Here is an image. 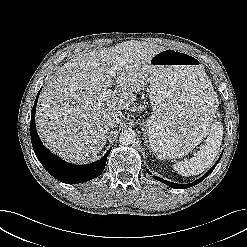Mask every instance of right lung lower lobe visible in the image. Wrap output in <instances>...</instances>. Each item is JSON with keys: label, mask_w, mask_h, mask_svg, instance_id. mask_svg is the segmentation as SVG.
I'll use <instances>...</instances> for the list:
<instances>
[{"label": "right lung lower lobe", "mask_w": 247, "mask_h": 247, "mask_svg": "<svg viewBox=\"0 0 247 247\" xmlns=\"http://www.w3.org/2000/svg\"><path fill=\"white\" fill-rule=\"evenodd\" d=\"M39 94L40 91L37 94L34 106L31 111L30 124L31 142L38 160L54 178L64 183H82L99 176L105 168L107 156L109 155L111 148L100 160L96 162L87 165H74L69 164L61 160L59 157L53 155L42 144L35 127V111Z\"/></svg>", "instance_id": "98d812e1"}]
</instances>
